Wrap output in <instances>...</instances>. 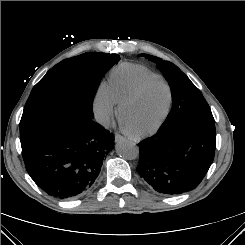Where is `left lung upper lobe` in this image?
I'll return each mask as SVG.
<instances>
[{"label":"left lung upper lobe","instance_id":"1","mask_svg":"<svg viewBox=\"0 0 245 245\" xmlns=\"http://www.w3.org/2000/svg\"><path fill=\"white\" fill-rule=\"evenodd\" d=\"M141 56L157 64L171 89L173 105L161 127L183 116H194L215 122L211 109L200 90L176 65L148 54H141Z\"/></svg>","mask_w":245,"mask_h":245}]
</instances>
